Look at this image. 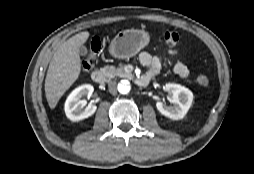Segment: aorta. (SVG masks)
<instances>
[{"instance_id": "1", "label": "aorta", "mask_w": 254, "mask_h": 174, "mask_svg": "<svg viewBox=\"0 0 254 174\" xmlns=\"http://www.w3.org/2000/svg\"><path fill=\"white\" fill-rule=\"evenodd\" d=\"M131 90V86L127 80L121 81V83L118 84V91L121 94H128Z\"/></svg>"}]
</instances>
